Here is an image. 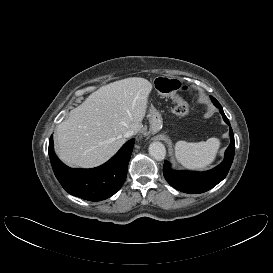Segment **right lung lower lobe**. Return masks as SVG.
<instances>
[{"label":"right lung lower lobe","instance_id":"obj_1","mask_svg":"<svg viewBox=\"0 0 273 273\" xmlns=\"http://www.w3.org/2000/svg\"><path fill=\"white\" fill-rule=\"evenodd\" d=\"M134 142L135 139L129 140L109 161L92 169H72L63 164L54 153L53 136L48 152L54 174L69 194L101 201L114 195L123 185Z\"/></svg>","mask_w":273,"mask_h":273}]
</instances>
